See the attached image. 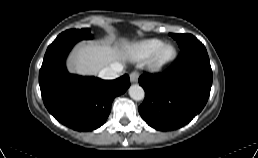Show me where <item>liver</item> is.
<instances>
[{"mask_svg":"<svg viewBox=\"0 0 258 158\" xmlns=\"http://www.w3.org/2000/svg\"><path fill=\"white\" fill-rule=\"evenodd\" d=\"M134 53L127 39H119L113 46L109 42L79 44L69 57V68L80 75H96L111 64L125 61Z\"/></svg>","mask_w":258,"mask_h":158,"instance_id":"1","label":"liver"}]
</instances>
